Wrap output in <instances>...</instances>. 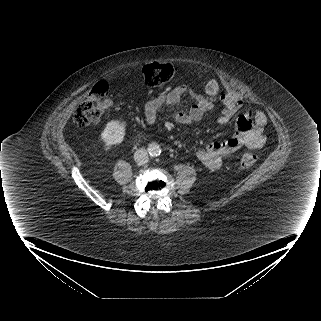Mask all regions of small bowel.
<instances>
[{
  "instance_id": "c3829d8e",
  "label": "small bowel",
  "mask_w": 321,
  "mask_h": 321,
  "mask_svg": "<svg viewBox=\"0 0 321 321\" xmlns=\"http://www.w3.org/2000/svg\"><path fill=\"white\" fill-rule=\"evenodd\" d=\"M185 96L192 101L189 111H179L174 114V120L179 124L197 122L213 108L212 100L204 94L192 90L187 85H179L166 94L147 100L144 107V117L147 123L157 121L161 109L179 103ZM110 103V102H109ZM222 111L218 122L227 124L231 122L243 108L242 98L234 93L227 92L221 97ZM267 118L259 109L246 110L241 113L236 122L234 134L223 141H213L199 148L196 158L207 168L215 170L222 165L223 159L241 147L258 150L265 145L266 137L264 127Z\"/></svg>"
}]
</instances>
